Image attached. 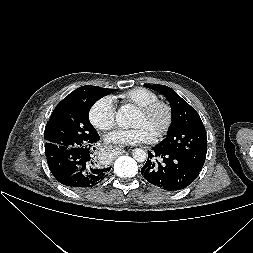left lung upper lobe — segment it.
<instances>
[{
  "mask_svg": "<svg viewBox=\"0 0 253 253\" xmlns=\"http://www.w3.org/2000/svg\"><path fill=\"white\" fill-rule=\"evenodd\" d=\"M164 95L172 109V124L167 138L157 145L202 169L207 151L205 127L197 111L165 85H144Z\"/></svg>",
  "mask_w": 253,
  "mask_h": 253,
  "instance_id": "left-lung-upper-lobe-1",
  "label": "left lung upper lobe"
}]
</instances>
